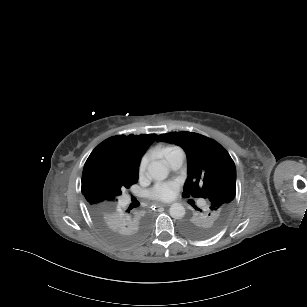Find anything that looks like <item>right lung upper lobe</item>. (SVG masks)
<instances>
[{
    "label": "right lung upper lobe",
    "mask_w": 307,
    "mask_h": 307,
    "mask_svg": "<svg viewBox=\"0 0 307 307\" xmlns=\"http://www.w3.org/2000/svg\"><path fill=\"white\" fill-rule=\"evenodd\" d=\"M156 134L117 135L100 143L82 173V193L95 221L107 233L135 239L148 228L149 218L135 199L130 206L123 193L138 181L139 163Z\"/></svg>",
    "instance_id": "1"
}]
</instances>
